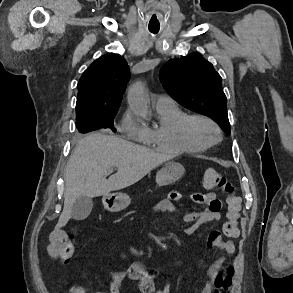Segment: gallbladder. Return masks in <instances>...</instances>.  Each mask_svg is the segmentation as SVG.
<instances>
[{
	"label": "gallbladder",
	"instance_id": "bac80fb5",
	"mask_svg": "<svg viewBox=\"0 0 293 293\" xmlns=\"http://www.w3.org/2000/svg\"><path fill=\"white\" fill-rule=\"evenodd\" d=\"M93 208V201L89 197L81 196L76 199L72 206L71 216L74 220L86 219Z\"/></svg>",
	"mask_w": 293,
	"mask_h": 293
}]
</instances>
